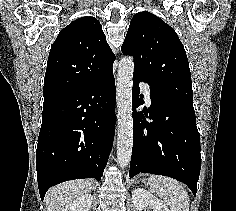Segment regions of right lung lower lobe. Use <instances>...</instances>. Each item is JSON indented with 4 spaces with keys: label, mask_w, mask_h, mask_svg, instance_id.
Returning <instances> with one entry per match:
<instances>
[{
    "label": "right lung lower lobe",
    "mask_w": 236,
    "mask_h": 211,
    "mask_svg": "<svg viewBox=\"0 0 236 211\" xmlns=\"http://www.w3.org/2000/svg\"><path fill=\"white\" fill-rule=\"evenodd\" d=\"M113 72L93 85L44 97L36 151L40 197L67 180H100L115 133Z\"/></svg>",
    "instance_id": "98d812e1"
}]
</instances>
